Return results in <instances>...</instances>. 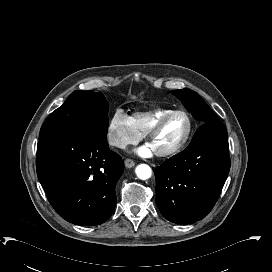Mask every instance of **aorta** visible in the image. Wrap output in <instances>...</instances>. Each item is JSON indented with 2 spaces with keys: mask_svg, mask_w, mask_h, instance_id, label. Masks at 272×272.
<instances>
[{
  "mask_svg": "<svg viewBox=\"0 0 272 272\" xmlns=\"http://www.w3.org/2000/svg\"><path fill=\"white\" fill-rule=\"evenodd\" d=\"M135 173L137 177L141 180H147L151 177L152 175V170L151 168L146 165V164H140L136 167Z\"/></svg>",
  "mask_w": 272,
  "mask_h": 272,
  "instance_id": "762f6f07",
  "label": "aorta"
}]
</instances>
